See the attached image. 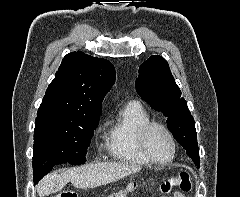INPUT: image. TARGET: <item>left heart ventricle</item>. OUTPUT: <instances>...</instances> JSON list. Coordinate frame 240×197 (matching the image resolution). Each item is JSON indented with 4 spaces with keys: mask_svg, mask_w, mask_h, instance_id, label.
Listing matches in <instances>:
<instances>
[{
    "mask_svg": "<svg viewBox=\"0 0 240 197\" xmlns=\"http://www.w3.org/2000/svg\"><path fill=\"white\" fill-rule=\"evenodd\" d=\"M148 148L152 156L160 161H164L170 158L172 154V144L161 128H153L147 139Z\"/></svg>",
    "mask_w": 240,
    "mask_h": 197,
    "instance_id": "obj_1",
    "label": "left heart ventricle"
}]
</instances>
